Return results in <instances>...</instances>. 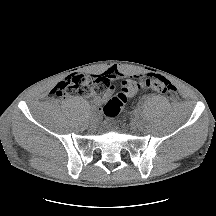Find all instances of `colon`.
<instances>
[{"label":"colon","instance_id":"1","mask_svg":"<svg viewBox=\"0 0 216 216\" xmlns=\"http://www.w3.org/2000/svg\"><path fill=\"white\" fill-rule=\"evenodd\" d=\"M145 85L155 92L173 99L176 88L167 79L161 76H152L145 80ZM110 87V78L100 75H71L59 82L52 93L56 96L83 95L96 96L105 93ZM141 84L137 81H126L121 92L112 97L104 106L103 113L107 118H115L123 109L131 91L139 90Z\"/></svg>","mask_w":216,"mask_h":216}]
</instances>
